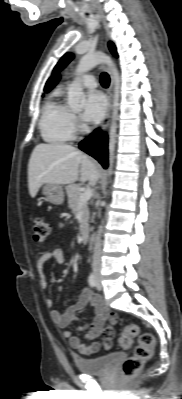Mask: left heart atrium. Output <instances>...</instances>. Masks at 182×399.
Masks as SVG:
<instances>
[{
	"label": "left heart atrium",
	"mask_w": 182,
	"mask_h": 399,
	"mask_svg": "<svg viewBox=\"0 0 182 399\" xmlns=\"http://www.w3.org/2000/svg\"><path fill=\"white\" fill-rule=\"evenodd\" d=\"M106 99L100 92L93 91L87 94L82 118L85 122L94 123L100 121L106 111Z\"/></svg>",
	"instance_id": "obj_1"
}]
</instances>
